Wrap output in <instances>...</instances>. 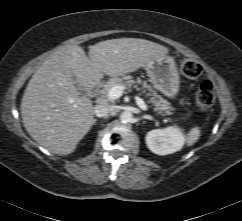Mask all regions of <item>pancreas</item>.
Here are the masks:
<instances>
[{"instance_id": "cf45deb5", "label": "pancreas", "mask_w": 242, "mask_h": 221, "mask_svg": "<svg viewBox=\"0 0 242 221\" xmlns=\"http://www.w3.org/2000/svg\"><path fill=\"white\" fill-rule=\"evenodd\" d=\"M142 84L143 92L145 93V97L147 99V102L150 103L152 106H154V111H158V114H165V115H172L175 110L172 106H170V103L162 98L158 93L152 89L149 85L146 84V82H142L140 79L135 81L131 76H124L122 78L113 77L108 82H106L104 85H102V89L100 90V96L105 101L114 102V100H111L108 98V92L109 90L116 86L120 85L123 86L125 89L131 90L132 88H135L139 90L137 84Z\"/></svg>"}]
</instances>
